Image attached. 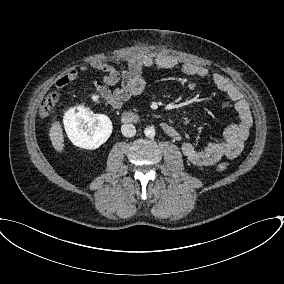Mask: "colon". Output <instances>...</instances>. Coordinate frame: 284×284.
Masks as SVG:
<instances>
[{"label": "colon", "mask_w": 284, "mask_h": 284, "mask_svg": "<svg viewBox=\"0 0 284 284\" xmlns=\"http://www.w3.org/2000/svg\"><path fill=\"white\" fill-rule=\"evenodd\" d=\"M59 100V93L57 91L51 92L48 95H46L41 104H40V108H39V113L40 116L43 118H46L50 115L51 111L53 110V108L55 107V105L57 104ZM227 163H220L217 166V169L219 171H225L227 169Z\"/></svg>", "instance_id": "5ec220e1"}]
</instances>
